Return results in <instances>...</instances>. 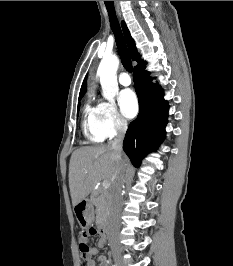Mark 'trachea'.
<instances>
[{
    "instance_id": "1",
    "label": "trachea",
    "mask_w": 233,
    "mask_h": 266,
    "mask_svg": "<svg viewBox=\"0 0 233 266\" xmlns=\"http://www.w3.org/2000/svg\"><path fill=\"white\" fill-rule=\"evenodd\" d=\"M104 2H105L106 9L108 11L109 21L111 24L113 34L115 36L116 45L119 51V55H120L123 67L128 72H132L133 67H132L130 54L127 49L122 31H121V28H120V25H119V22H118L116 13H115L114 3L113 1H104Z\"/></svg>"
}]
</instances>
